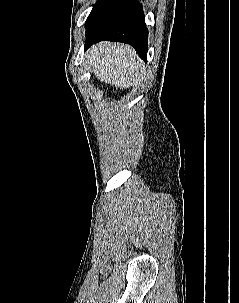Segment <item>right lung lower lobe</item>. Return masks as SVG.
I'll return each instance as SVG.
<instances>
[{
  "mask_svg": "<svg viewBox=\"0 0 239 303\" xmlns=\"http://www.w3.org/2000/svg\"><path fill=\"white\" fill-rule=\"evenodd\" d=\"M147 38L142 5L137 0H109L86 27L85 49L102 40L123 42L132 45L146 60Z\"/></svg>",
  "mask_w": 239,
  "mask_h": 303,
  "instance_id": "1",
  "label": "right lung lower lobe"
}]
</instances>
